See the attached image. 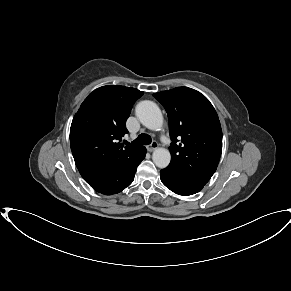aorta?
Instances as JSON below:
<instances>
[{"label":"aorta","mask_w":291,"mask_h":291,"mask_svg":"<svg viewBox=\"0 0 291 291\" xmlns=\"http://www.w3.org/2000/svg\"><path fill=\"white\" fill-rule=\"evenodd\" d=\"M135 114L139 121L150 130H158L163 125V116L156 103L145 100L137 104ZM152 160L159 168L169 165L171 155L166 148H157L152 154Z\"/></svg>","instance_id":"1"}]
</instances>
